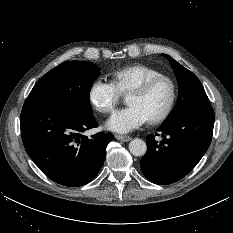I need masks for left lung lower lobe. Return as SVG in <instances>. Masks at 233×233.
I'll return each mask as SVG.
<instances>
[{"instance_id": "1", "label": "left lung lower lobe", "mask_w": 233, "mask_h": 233, "mask_svg": "<svg viewBox=\"0 0 233 233\" xmlns=\"http://www.w3.org/2000/svg\"><path fill=\"white\" fill-rule=\"evenodd\" d=\"M213 108L193 110L179 119L162 124L157 131L164 140L148 135L147 153L140 162L145 177L167 185L186 176L207 151L213 133ZM167 136V139H165Z\"/></svg>"}]
</instances>
